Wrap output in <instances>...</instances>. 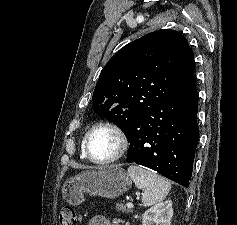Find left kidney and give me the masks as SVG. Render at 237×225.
Returning <instances> with one entry per match:
<instances>
[{"label":"left kidney","instance_id":"1","mask_svg":"<svg viewBox=\"0 0 237 225\" xmlns=\"http://www.w3.org/2000/svg\"><path fill=\"white\" fill-rule=\"evenodd\" d=\"M172 216V202L170 200L161 202L145 211L142 225H171Z\"/></svg>","mask_w":237,"mask_h":225}]
</instances>
